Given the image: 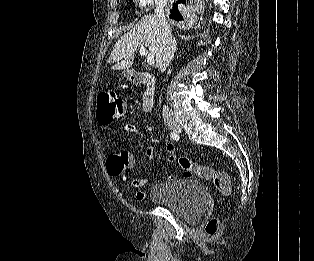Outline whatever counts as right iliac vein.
Returning a JSON list of instances; mask_svg holds the SVG:
<instances>
[{
	"label": "right iliac vein",
	"instance_id": "63e3f726",
	"mask_svg": "<svg viewBox=\"0 0 314 261\" xmlns=\"http://www.w3.org/2000/svg\"><path fill=\"white\" fill-rule=\"evenodd\" d=\"M168 126L175 132H181V125L177 121H170Z\"/></svg>",
	"mask_w": 314,
	"mask_h": 261
}]
</instances>
